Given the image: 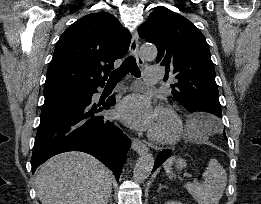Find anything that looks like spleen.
Wrapping results in <instances>:
<instances>
[{"label":"spleen","mask_w":261,"mask_h":204,"mask_svg":"<svg viewBox=\"0 0 261 204\" xmlns=\"http://www.w3.org/2000/svg\"><path fill=\"white\" fill-rule=\"evenodd\" d=\"M188 133L194 141L204 142L208 139V132L200 125L188 126ZM174 160V156L170 157L164 164V169L169 178L173 177L171 166ZM203 179V183L188 182L184 187L198 204H218L227 184L225 169L216 159H210L208 167L203 173Z\"/></svg>","instance_id":"spleen-1"}]
</instances>
